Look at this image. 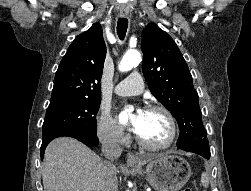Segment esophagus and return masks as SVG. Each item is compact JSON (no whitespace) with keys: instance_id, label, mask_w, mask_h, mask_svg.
<instances>
[{"instance_id":"1","label":"esophagus","mask_w":251,"mask_h":191,"mask_svg":"<svg viewBox=\"0 0 251 191\" xmlns=\"http://www.w3.org/2000/svg\"><path fill=\"white\" fill-rule=\"evenodd\" d=\"M120 15L122 17H124V16L128 15V12L120 11ZM126 160H127V165L130 166V167L137 168L139 166V164H140V159L137 158V156H134L131 153L127 154Z\"/></svg>"}]
</instances>
